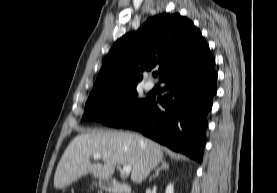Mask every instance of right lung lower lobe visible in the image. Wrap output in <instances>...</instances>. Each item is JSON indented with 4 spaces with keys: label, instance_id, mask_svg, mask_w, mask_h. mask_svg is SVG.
Here are the masks:
<instances>
[{
    "label": "right lung lower lobe",
    "instance_id": "right-lung-lower-lobe-1",
    "mask_svg": "<svg viewBox=\"0 0 277 193\" xmlns=\"http://www.w3.org/2000/svg\"><path fill=\"white\" fill-rule=\"evenodd\" d=\"M215 60L209 48L190 63L175 69L161 81L169 93L150 99L121 126L142 132L170 149L201 162L205 146L207 113L217 92Z\"/></svg>",
    "mask_w": 277,
    "mask_h": 193
}]
</instances>
